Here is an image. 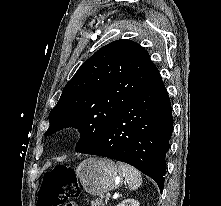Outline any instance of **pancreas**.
Wrapping results in <instances>:
<instances>
[{
	"instance_id": "pancreas-1",
	"label": "pancreas",
	"mask_w": 221,
	"mask_h": 206,
	"mask_svg": "<svg viewBox=\"0 0 221 206\" xmlns=\"http://www.w3.org/2000/svg\"><path fill=\"white\" fill-rule=\"evenodd\" d=\"M107 201V197L101 195L96 200L92 201V206H104Z\"/></svg>"
}]
</instances>
